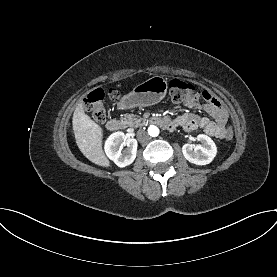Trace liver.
I'll return each instance as SVG.
<instances>
[{
    "label": "liver",
    "mask_w": 277,
    "mask_h": 277,
    "mask_svg": "<svg viewBox=\"0 0 277 277\" xmlns=\"http://www.w3.org/2000/svg\"><path fill=\"white\" fill-rule=\"evenodd\" d=\"M73 131L78 148L92 163L109 167L110 161L103 152V130L84 110L81 102L76 107L72 119Z\"/></svg>",
    "instance_id": "1"
}]
</instances>
